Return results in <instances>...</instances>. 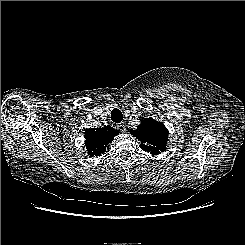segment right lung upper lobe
I'll return each mask as SVG.
<instances>
[{
  "label": "right lung upper lobe",
  "instance_id": "cb5924a9",
  "mask_svg": "<svg viewBox=\"0 0 245 245\" xmlns=\"http://www.w3.org/2000/svg\"><path fill=\"white\" fill-rule=\"evenodd\" d=\"M118 131L111 126L103 128H90L85 131V146L90 157L101 156L106 151V147L112 142Z\"/></svg>",
  "mask_w": 245,
  "mask_h": 245
}]
</instances>
